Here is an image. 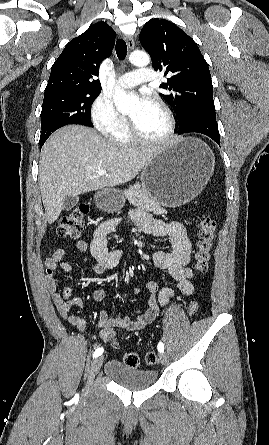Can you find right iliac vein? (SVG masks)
I'll return each mask as SVG.
<instances>
[{"mask_svg":"<svg viewBox=\"0 0 269 445\" xmlns=\"http://www.w3.org/2000/svg\"><path fill=\"white\" fill-rule=\"evenodd\" d=\"M103 360H104V358H103V356H101L93 361L91 368H90V373H89V384L93 380L94 376L99 372V370L103 364Z\"/></svg>","mask_w":269,"mask_h":445,"instance_id":"63e3f726","label":"right iliac vein"}]
</instances>
